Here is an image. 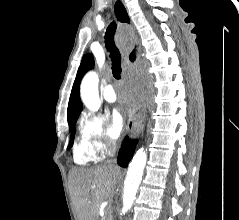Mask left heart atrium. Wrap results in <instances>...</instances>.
Wrapping results in <instances>:
<instances>
[{
  "label": "left heart atrium",
  "mask_w": 239,
  "mask_h": 220,
  "mask_svg": "<svg viewBox=\"0 0 239 220\" xmlns=\"http://www.w3.org/2000/svg\"><path fill=\"white\" fill-rule=\"evenodd\" d=\"M122 101H126V96L122 95ZM125 125V120L119 109L114 110L111 116V123L108 129V133L112 138H117L121 134Z\"/></svg>",
  "instance_id": "obj_1"
}]
</instances>
